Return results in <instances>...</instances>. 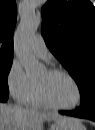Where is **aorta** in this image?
<instances>
[{"label": "aorta", "instance_id": "obj_1", "mask_svg": "<svg viewBox=\"0 0 95 130\" xmlns=\"http://www.w3.org/2000/svg\"><path fill=\"white\" fill-rule=\"evenodd\" d=\"M42 22L41 16L26 15L21 20L15 35V52L22 62L27 76L38 74L40 67L32 52L31 41Z\"/></svg>", "mask_w": 95, "mask_h": 130}]
</instances>
